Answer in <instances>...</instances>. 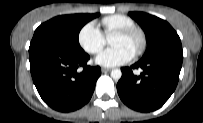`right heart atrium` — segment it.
Returning a JSON list of instances; mask_svg holds the SVG:
<instances>
[{
	"label": "right heart atrium",
	"mask_w": 203,
	"mask_h": 123,
	"mask_svg": "<svg viewBox=\"0 0 203 123\" xmlns=\"http://www.w3.org/2000/svg\"><path fill=\"white\" fill-rule=\"evenodd\" d=\"M78 42L87 53L97 54L105 45V37L96 24L90 22L80 29Z\"/></svg>",
	"instance_id": "obj_1"
}]
</instances>
